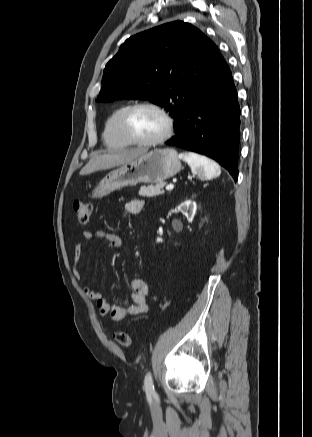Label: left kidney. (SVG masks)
Listing matches in <instances>:
<instances>
[{"label":"left kidney","mask_w":312,"mask_h":437,"mask_svg":"<svg viewBox=\"0 0 312 437\" xmlns=\"http://www.w3.org/2000/svg\"><path fill=\"white\" fill-rule=\"evenodd\" d=\"M179 210L187 217V220L189 222H192L194 219V216L196 214L197 205L193 200H186L183 203L179 205ZM179 225V222L177 220H174L172 222L173 227H177ZM157 242H162L161 238H157Z\"/></svg>","instance_id":"obj_1"}]
</instances>
